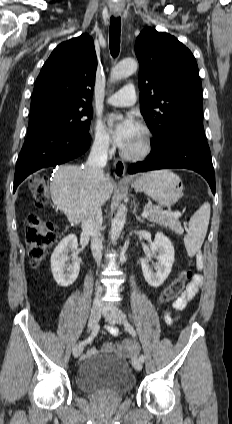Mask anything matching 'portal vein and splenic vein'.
Masks as SVG:
<instances>
[{"label": "portal vein and splenic vein", "instance_id": "18ae733b", "mask_svg": "<svg viewBox=\"0 0 232 424\" xmlns=\"http://www.w3.org/2000/svg\"><path fill=\"white\" fill-rule=\"evenodd\" d=\"M165 213L169 214L170 212H165ZM141 215H142V217L146 218V217H148L149 212L144 211ZM173 215L180 216L181 214H180V213H173ZM68 220H69L70 222H74V220H73L72 218H70V217H68ZM75 223H77V222L75 221Z\"/></svg>", "mask_w": 232, "mask_h": 424}]
</instances>
